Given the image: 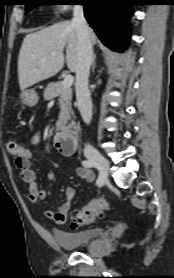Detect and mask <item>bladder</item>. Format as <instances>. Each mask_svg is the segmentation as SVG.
<instances>
[{"instance_id":"1","label":"bladder","mask_w":174,"mask_h":278,"mask_svg":"<svg viewBox=\"0 0 174 278\" xmlns=\"http://www.w3.org/2000/svg\"><path fill=\"white\" fill-rule=\"evenodd\" d=\"M102 234L101 228H89L77 232H67L61 230L53 231V238L58 246L66 250L89 245Z\"/></svg>"}]
</instances>
